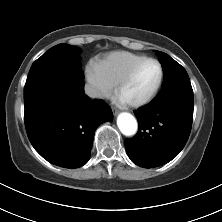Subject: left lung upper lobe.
<instances>
[{
    "instance_id": "obj_1",
    "label": "left lung upper lobe",
    "mask_w": 222,
    "mask_h": 222,
    "mask_svg": "<svg viewBox=\"0 0 222 222\" xmlns=\"http://www.w3.org/2000/svg\"><path fill=\"white\" fill-rule=\"evenodd\" d=\"M158 56L164 72L162 90L191 86L186 70L179 63L164 52L158 51Z\"/></svg>"
}]
</instances>
